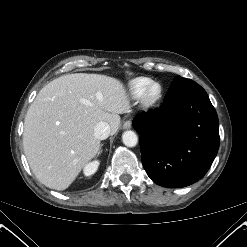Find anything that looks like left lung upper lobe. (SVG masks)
Wrapping results in <instances>:
<instances>
[{
    "instance_id": "1",
    "label": "left lung upper lobe",
    "mask_w": 247,
    "mask_h": 247,
    "mask_svg": "<svg viewBox=\"0 0 247 247\" xmlns=\"http://www.w3.org/2000/svg\"><path fill=\"white\" fill-rule=\"evenodd\" d=\"M190 82H193V81L187 78H182L181 76H177L173 81V83H183V84H187Z\"/></svg>"
}]
</instances>
